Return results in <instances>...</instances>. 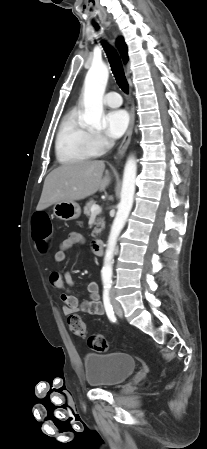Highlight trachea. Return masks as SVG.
Masks as SVG:
<instances>
[{
  "label": "trachea",
  "instance_id": "3493384b",
  "mask_svg": "<svg viewBox=\"0 0 207 449\" xmlns=\"http://www.w3.org/2000/svg\"><path fill=\"white\" fill-rule=\"evenodd\" d=\"M98 28V27H96ZM103 47L105 49L107 58L109 60L111 70L114 74L115 80L118 84V86L124 91L125 93H128L129 91V85L123 70V66L121 63V60L116 53V51L108 45L106 42H103Z\"/></svg>",
  "mask_w": 207,
  "mask_h": 449
}]
</instances>
